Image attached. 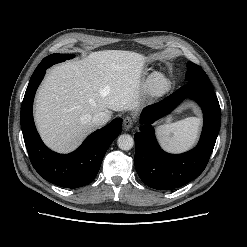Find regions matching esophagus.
<instances>
[{"label":"esophagus","mask_w":247,"mask_h":247,"mask_svg":"<svg viewBox=\"0 0 247 247\" xmlns=\"http://www.w3.org/2000/svg\"><path fill=\"white\" fill-rule=\"evenodd\" d=\"M134 125V120L132 117L127 116L123 120V126L125 130H130Z\"/></svg>","instance_id":"obj_1"}]
</instances>
